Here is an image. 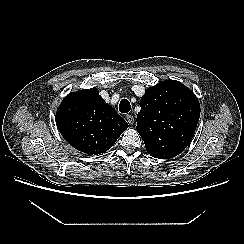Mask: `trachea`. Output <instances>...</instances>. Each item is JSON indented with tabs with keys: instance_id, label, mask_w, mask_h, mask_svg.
Here are the masks:
<instances>
[{
	"instance_id": "trachea-1",
	"label": "trachea",
	"mask_w": 244,
	"mask_h": 244,
	"mask_svg": "<svg viewBox=\"0 0 244 244\" xmlns=\"http://www.w3.org/2000/svg\"><path fill=\"white\" fill-rule=\"evenodd\" d=\"M131 110L130 102L127 99H122L119 104V111L121 113H128Z\"/></svg>"
}]
</instances>
